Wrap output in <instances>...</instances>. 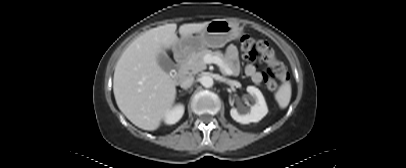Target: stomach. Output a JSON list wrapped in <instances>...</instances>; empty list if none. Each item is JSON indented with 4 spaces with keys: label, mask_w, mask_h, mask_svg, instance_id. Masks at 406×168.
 Wrapping results in <instances>:
<instances>
[{
    "label": "stomach",
    "mask_w": 406,
    "mask_h": 168,
    "mask_svg": "<svg viewBox=\"0 0 406 168\" xmlns=\"http://www.w3.org/2000/svg\"><path fill=\"white\" fill-rule=\"evenodd\" d=\"M242 29L237 23L215 19L210 21L200 32L182 37L174 45L175 56L180 57L186 54L198 52L205 47L220 48L227 42L241 36Z\"/></svg>",
    "instance_id": "stomach-1"
}]
</instances>
